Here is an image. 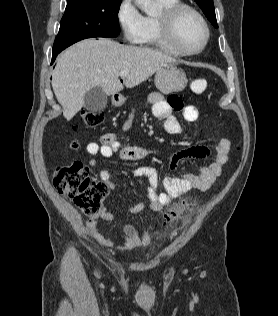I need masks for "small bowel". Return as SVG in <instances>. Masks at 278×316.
I'll list each match as a JSON object with an SVG mask.
<instances>
[{"mask_svg":"<svg viewBox=\"0 0 278 316\" xmlns=\"http://www.w3.org/2000/svg\"><path fill=\"white\" fill-rule=\"evenodd\" d=\"M148 101L152 105V113L155 118L164 122V128L167 133L179 135L183 129L180 122L173 115V111H182L183 117L188 122H194L199 118V111L195 105L184 106L179 97L164 99L159 93H151ZM135 110L133 109L129 118L125 122L123 129L128 130L133 122ZM231 140L221 138L216 146L213 162L202 167L197 174H185L182 176H167L162 180L164 192H159L160 177L157 170L151 166H138L133 170L136 177L146 178L148 181V199L149 206L154 211H161L171 201L187 192L196 189L200 191L208 190L214 181L221 175L222 167L229 159L231 149ZM87 153L92 157L88 164L94 168L97 166L96 156L101 155L105 158L118 157L123 161H139L145 159L149 151L142 146L122 145L112 133H106L101 136L100 142H89L86 145ZM211 149L206 146H190L177 151L171 160V170H176L179 164L187 158H205L210 156ZM100 178L107 187L113 186V181L108 170L100 172ZM146 207V203L138 202L129 208L132 213H139ZM102 219L106 222L114 220V215L109 210H104ZM88 228L95 240L103 246L115 248L120 251H130L132 249L146 246L151 241L150 234H139L135 225L127 224L123 227V235L120 239L112 238L107 232L102 230L99 223L88 222Z\"/></svg>","mask_w":278,"mask_h":316,"instance_id":"1","label":"small bowel"}]
</instances>
